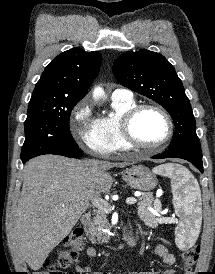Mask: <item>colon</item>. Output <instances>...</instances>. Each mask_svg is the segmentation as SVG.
<instances>
[{"mask_svg": "<svg viewBox=\"0 0 215 274\" xmlns=\"http://www.w3.org/2000/svg\"><path fill=\"white\" fill-rule=\"evenodd\" d=\"M83 245V230L74 228L63 240V250L59 252L55 264L47 262L43 270L34 274H73L72 272H63L58 267H68L83 249ZM199 253L200 248L198 246L191 247L182 253V264L186 274H193L192 268L199 257Z\"/></svg>", "mask_w": 215, "mask_h": 274, "instance_id": "1", "label": "colon"}]
</instances>
